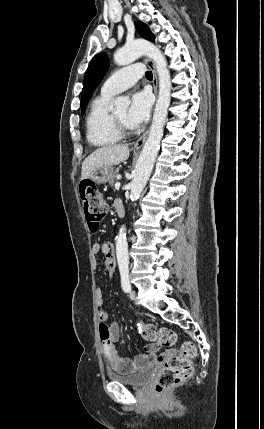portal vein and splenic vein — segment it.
<instances>
[{"label": "portal vein and splenic vein", "instance_id": "18ae733b", "mask_svg": "<svg viewBox=\"0 0 264 429\" xmlns=\"http://www.w3.org/2000/svg\"><path fill=\"white\" fill-rule=\"evenodd\" d=\"M120 186H121L120 182L115 183V188H116V189H119V188H120Z\"/></svg>", "mask_w": 264, "mask_h": 429}]
</instances>
